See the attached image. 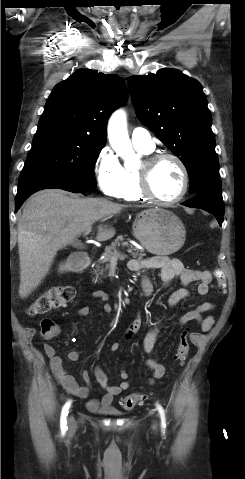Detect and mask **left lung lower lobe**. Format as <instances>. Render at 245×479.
I'll list each match as a JSON object with an SVG mask.
<instances>
[{"mask_svg":"<svg viewBox=\"0 0 245 479\" xmlns=\"http://www.w3.org/2000/svg\"><path fill=\"white\" fill-rule=\"evenodd\" d=\"M190 208L203 209L213 214L222 226L224 218V203L222 198L221 183L215 182L196 193V197L183 203Z\"/></svg>","mask_w":245,"mask_h":479,"instance_id":"left-lung-lower-lobe-1","label":"left lung lower lobe"}]
</instances>
